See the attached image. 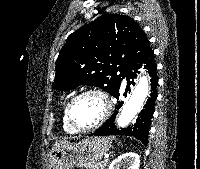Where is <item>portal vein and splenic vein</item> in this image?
Returning <instances> with one entry per match:
<instances>
[{
  "mask_svg": "<svg viewBox=\"0 0 200 169\" xmlns=\"http://www.w3.org/2000/svg\"><path fill=\"white\" fill-rule=\"evenodd\" d=\"M108 157H109V156H105V160H107V159H108Z\"/></svg>",
  "mask_w": 200,
  "mask_h": 169,
  "instance_id": "obj_1",
  "label": "portal vein and splenic vein"
}]
</instances>
